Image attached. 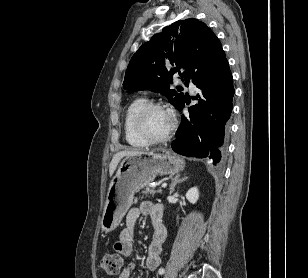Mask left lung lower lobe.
<instances>
[{
  "label": "left lung lower lobe",
  "instance_id": "obj_1",
  "mask_svg": "<svg viewBox=\"0 0 308 278\" xmlns=\"http://www.w3.org/2000/svg\"><path fill=\"white\" fill-rule=\"evenodd\" d=\"M194 84L200 90L194 97L199 103L189 108V117H182L177 138L171 146L178 154L209 158L216 164L226 146L228 120L233 108L234 87L227 59Z\"/></svg>",
  "mask_w": 308,
  "mask_h": 278
}]
</instances>
